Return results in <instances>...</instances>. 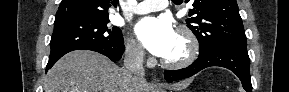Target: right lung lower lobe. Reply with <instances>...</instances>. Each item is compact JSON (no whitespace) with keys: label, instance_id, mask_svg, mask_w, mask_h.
<instances>
[{"label":"right lung lower lobe","instance_id":"1","mask_svg":"<svg viewBox=\"0 0 289 92\" xmlns=\"http://www.w3.org/2000/svg\"><path fill=\"white\" fill-rule=\"evenodd\" d=\"M124 41L122 40V42L119 45L116 46H107V45H96V44H87V45H82L79 46L77 48H73V49H68L65 51H62L54 56L49 57V61L48 64L46 66V72L66 53L73 51V50H79V49H85V50H92V51H96L99 52L107 57H109L112 61H118L123 52H124V45H123Z\"/></svg>","mask_w":289,"mask_h":92}]
</instances>
